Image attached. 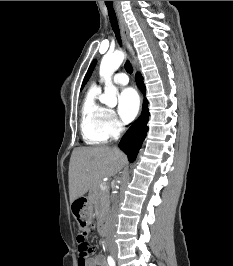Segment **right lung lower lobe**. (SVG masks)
I'll use <instances>...</instances> for the list:
<instances>
[{"mask_svg":"<svg viewBox=\"0 0 233 266\" xmlns=\"http://www.w3.org/2000/svg\"><path fill=\"white\" fill-rule=\"evenodd\" d=\"M136 81L143 93H145V86L143 84L142 76L137 73ZM149 118L148 101L144 98L142 114L137 121L128 129L123 139L119 143L120 149L128 155V160L133 162L142 145V142L148 131L147 122Z\"/></svg>","mask_w":233,"mask_h":266,"instance_id":"98d812e1","label":"right lung lower lobe"}]
</instances>
